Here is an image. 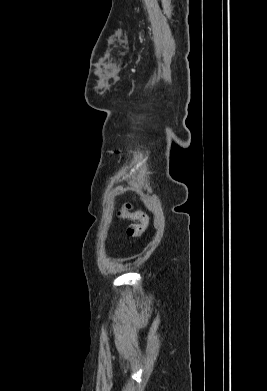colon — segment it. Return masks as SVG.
I'll return each instance as SVG.
<instances>
[{
    "label": "colon",
    "instance_id": "1",
    "mask_svg": "<svg viewBox=\"0 0 267 391\" xmlns=\"http://www.w3.org/2000/svg\"><path fill=\"white\" fill-rule=\"evenodd\" d=\"M118 216L121 219H129L134 221L127 228V235L129 237H140L147 229L149 222L148 215L143 211H132L130 204H125L118 212Z\"/></svg>",
    "mask_w": 267,
    "mask_h": 391
}]
</instances>
